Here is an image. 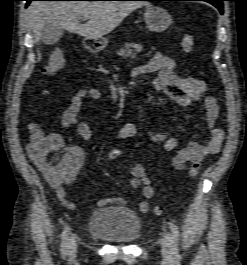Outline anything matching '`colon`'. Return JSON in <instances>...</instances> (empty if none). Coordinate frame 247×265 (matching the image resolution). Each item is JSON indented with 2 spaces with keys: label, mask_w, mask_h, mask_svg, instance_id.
I'll return each mask as SVG.
<instances>
[{
  "label": "colon",
  "mask_w": 247,
  "mask_h": 265,
  "mask_svg": "<svg viewBox=\"0 0 247 265\" xmlns=\"http://www.w3.org/2000/svg\"><path fill=\"white\" fill-rule=\"evenodd\" d=\"M184 52L190 53L194 50L195 37L193 34H184L180 40ZM65 65L64 52L60 48L52 51L48 64L43 71L44 76H50ZM31 138L27 144L28 155L35 161L37 166L52 178H63L71 167V159L64 152L63 144L54 134L45 133L37 124L30 125ZM121 150L114 148L108 153L109 161H116L121 157ZM201 169L199 161L193 162L189 169V176L195 177ZM161 211L156 207V212Z\"/></svg>",
  "instance_id": "obj_1"
}]
</instances>
